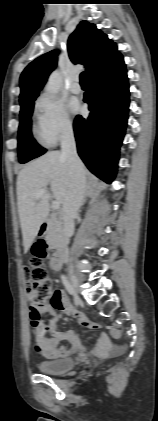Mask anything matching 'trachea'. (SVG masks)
I'll return each mask as SVG.
<instances>
[{"label":"trachea","mask_w":158,"mask_h":421,"mask_svg":"<svg viewBox=\"0 0 158 421\" xmlns=\"http://www.w3.org/2000/svg\"><path fill=\"white\" fill-rule=\"evenodd\" d=\"M80 83L81 84H87V75L86 72H82L80 75Z\"/></svg>","instance_id":"trachea-1"}]
</instances>
